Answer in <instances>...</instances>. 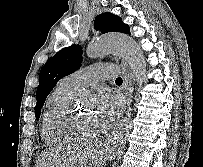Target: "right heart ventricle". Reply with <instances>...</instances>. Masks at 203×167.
<instances>
[{"mask_svg": "<svg viewBox=\"0 0 203 167\" xmlns=\"http://www.w3.org/2000/svg\"><path fill=\"white\" fill-rule=\"evenodd\" d=\"M77 89L62 81L49 95L41 118L40 133L42 140L48 145H63L72 142L56 128V120L67 108Z\"/></svg>", "mask_w": 203, "mask_h": 167, "instance_id": "right-heart-ventricle-1", "label": "right heart ventricle"}]
</instances>
